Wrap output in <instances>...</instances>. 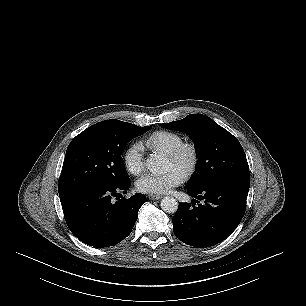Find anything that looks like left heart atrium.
<instances>
[{
    "label": "left heart atrium",
    "mask_w": 306,
    "mask_h": 306,
    "mask_svg": "<svg viewBox=\"0 0 306 306\" xmlns=\"http://www.w3.org/2000/svg\"><path fill=\"white\" fill-rule=\"evenodd\" d=\"M183 178V174L177 169H170L163 174L148 173L137 180L136 187L142 193L161 195L180 185Z\"/></svg>",
    "instance_id": "1"
}]
</instances>
